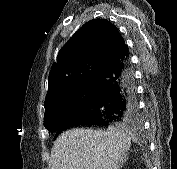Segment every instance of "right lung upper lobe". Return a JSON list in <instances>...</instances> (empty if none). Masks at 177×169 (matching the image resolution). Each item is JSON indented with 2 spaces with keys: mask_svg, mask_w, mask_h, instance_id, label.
Listing matches in <instances>:
<instances>
[{
  "mask_svg": "<svg viewBox=\"0 0 177 169\" xmlns=\"http://www.w3.org/2000/svg\"><path fill=\"white\" fill-rule=\"evenodd\" d=\"M128 52L118 29L106 19L85 23L60 49L48 77L45 108L65 100Z\"/></svg>",
  "mask_w": 177,
  "mask_h": 169,
  "instance_id": "cb5924a9",
  "label": "right lung upper lobe"
}]
</instances>
